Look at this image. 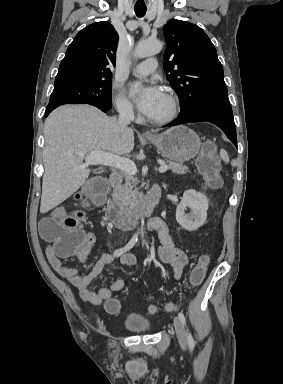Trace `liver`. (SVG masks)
Wrapping results in <instances>:
<instances>
[{"mask_svg":"<svg viewBox=\"0 0 283 384\" xmlns=\"http://www.w3.org/2000/svg\"><path fill=\"white\" fill-rule=\"evenodd\" d=\"M41 214L53 210L85 184L90 170L83 164L93 150L115 156L134 148L132 128H120L117 118H108L93 106H60L44 124Z\"/></svg>","mask_w":283,"mask_h":384,"instance_id":"1","label":"liver"}]
</instances>
